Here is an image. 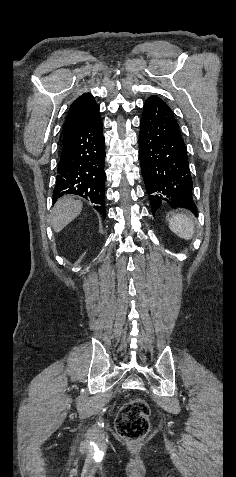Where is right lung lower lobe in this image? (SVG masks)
Returning a JSON list of instances; mask_svg holds the SVG:
<instances>
[{
  "label": "right lung lower lobe",
  "mask_w": 236,
  "mask_h": 477,
  "mask_svg": "<svg viewBox=\"0 0 236 477\" xmlns=\"http://www.w3.org/2000/svg\"><path fill=\"white\" fill-rule=\"evenodd\" d=\"M105 148L99 113L80 131L62 141L53 201L75 194L94 203L105 218Z\"/></svg>",
  "instance_id": "1"
}]
</instances>
